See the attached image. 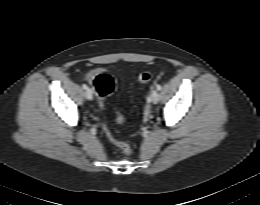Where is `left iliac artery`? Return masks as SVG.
<instances>
[{"mask_svg":"<svg viewBox=\"0 0 260 205\" xmlns=\"http://www.w3.org/2000/svg\"><path fill=\"white\" fill-rule=\"evenodd\" d=\"M156 88H157V90H161V89H162V87H161L160 84H157V85H156Z\"/></svg>","mask_w":260,"mask_h":205,"instance_id":"1","label":"left iliac artery"}]
</instances>
